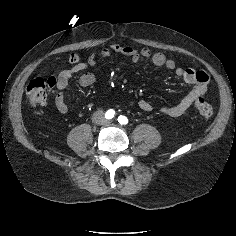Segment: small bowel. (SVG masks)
Wrapping results in <instances>:
<instances>
[{"instance_id":"obj_1","label":"small bowel","mask_w":236,"mask_h":236,"mask_svg":"<svg viewBox=\"0 0 236 236\" xmlns=\"http://www.w3.org/2000/svg\"><path fill=\"white\" fill-rule=\"evenodd\" d=\"M114 53L127 56L133 62H138L141 59H150L154 65L173 70L177 77L182 78L187 84L193 85V88L190 90V92L175 105H164L156 109L152 104L144 99H141L137 102H130V105H135L143 111H157L158 113L169 117L185 116L190 112L193 103L198 98L204 96L207 92L209 76L206 72L192 68H179L176 66L174 60L168 59L161 52L152 53L147 47L136 49L131 46L112 44L108 48H104L98 53L91 54L86 61L80 62L71 68L64 69L59 73L56 82L54 101L55 107L60 113L65 114L68 112V105L65 100V89L67 88L68 83L74 74L87 70L90 66H93L100 57H109ZM95 81V76L92 73L86 72L80 76L79 85L81 87H89L93 85Z\"/></svg>"}]
</instances>
